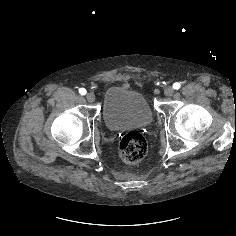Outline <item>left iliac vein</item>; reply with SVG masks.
Here are the masks:
<instances>
[{
  "instance_id": "obj_1",
  "label": "left iliac vein",
  "mask_w": 236,
  "mask_h": 236,
  "mask_svg": "<svg viewBox=\"0 0 236 236\" xmlns=\"http://www.w3.org/2000/svg\"><path fill=\"white\" fill-rule=\"evenodd\" d=\"M173 93H174V89H173V87H171V86L167 87V88L165 89V91H164V94H165L166 96H172Z\"/></svg>"
}]
</instances>
